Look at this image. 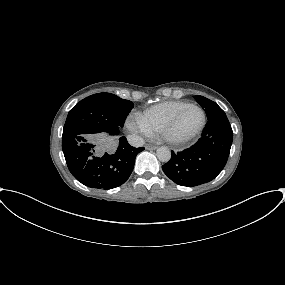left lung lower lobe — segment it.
<instances>
[{
	"mask_svg": "<svg viewBox=\"0 0 285 285\" xmlns=\"http://www.w3.org/2000/svg\"><path fill=\"white\" fill-rule=\"evenodd\" d=\"M233 131L226 116L208 120L202 137L190 148L174 153L162 166L164 173L181 186L193 187L213 180L226 165Z\"/></svg>",
	"mask_w": 285,
	"mask_h": 285,
	"instance_id": "left-lung-lower-lobe-1",
	"label": "left lung lower lobe"
}]
</instances>
